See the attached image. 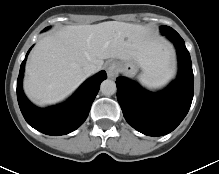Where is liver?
Wrapping results in <instances>:
<instances>
[{"label":"liver","mask_w":219,"mask_h":174,"mask_svg":"<svg viewBox=\"0 0 219 174\" xmlns=\"http://www.w3.org/2000/svg\"><path fill=\"white\" fill-rule=\"evenodd\" d=\"M167 47L152 41L140 25L107 21L66 26L40 39L26 64L24 91L36 104H53L72 93L87 77L84 67L97 70L104 59L134 60L142 69L165 59Z\"/></svg>","instance_id":"obj_1"}]
</instances>
